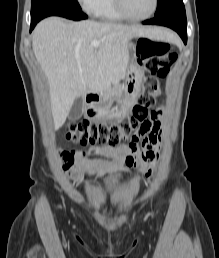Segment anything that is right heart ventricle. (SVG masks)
I'll use <instances>...</instances> for the list:
<instances>
[{"label": "right heart ventricle", "mask_w": 219, "mask_h": 258, "mask_svg": "<svg viewBox=\"0 0 219 258\" xmlns=\"http://www.w3.org/2000/svg\"><path fill=\"white\" fill-rule=\"evenodd\" d=\"M95 15L105 20H120L122 17L116 10L114 0H101L98 5Z\"/></svg>", "instance_id": "obj_1"}]
</instances>
